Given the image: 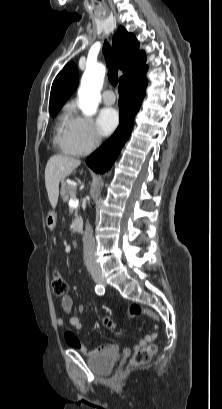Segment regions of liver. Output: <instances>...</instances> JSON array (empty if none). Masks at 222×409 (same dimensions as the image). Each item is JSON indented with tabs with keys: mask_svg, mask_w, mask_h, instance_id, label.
I'll use <instances>...</instances> for the list:
<instances>
[{
	"mask_svg": "<svg viewBox=\"0 0 222 409\" xmlns=\"http://www.w3.org/2000/svg\"><path fill=\"white\" fill-rule=\"evenodd\" d=\"M80 163V160L64 155H53L48 160L45 168V186L53 208L58 202L60 181L68 177Z\"/></svg>",
	"mask_w": 222,
	"mask_h": 409,
	"instance_id": "liver-1",
	"label": "liver"
}]
</instances>
